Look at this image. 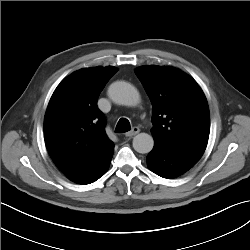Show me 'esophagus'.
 <instances>
[{
    "label": "esophagus",
    "mask_w": 250,
    "mask_h": 250,
    "mask_svg": "<svg viewBox=\"0 0 250 250\" xmlns=\"http://www.w3.org/2000/svg\"><path fill=\"white\" fill-rule=\"evenodd\" d=\"M140 132V129L138 127H133L131 131L127 132L125 135L127 137H133L137 135Z\"/></svg>",
    "instance_id": "obj_1"
}]
</instances>
